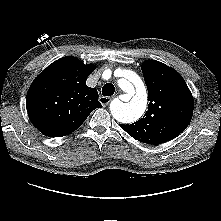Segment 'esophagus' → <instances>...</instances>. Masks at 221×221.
<instances>
[{
    "label": "esophagus",
    "instance_id": "obj_1",
    "mask_svg": "<svg viewBox=\"0 0 221 221\" xmlns=\"http://www.w3.org/2000/svg\"><path fill=\"white\" fill-rule=\"evenodd\" d=\"M112 100L111 97H105V96H101L99 97V102L103 105V106H107L110 101Z\"/></svg>",
    "mask_w": 221,
    "mask_h": 221
}]
</instances>
